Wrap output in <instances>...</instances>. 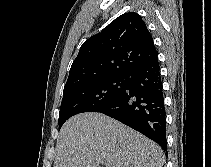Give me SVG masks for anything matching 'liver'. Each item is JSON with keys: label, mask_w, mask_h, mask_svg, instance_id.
Here are the masks:
<instances>
[{"label": "liver", "mask_w": 211, "mask_h": 167, "mask_svg": "<svg viewBox=\"0 0 211 167\" xmlns=\"http://www.w3.org/2000/svg\"><path fill=\"white\" fill-rule=\"evenodd\" d=\"M162 167L163 150L139 132L101 113H81L63 125L53 167Z\"/></svg>", "instance_id": "6515ba94"}]
</instances>
